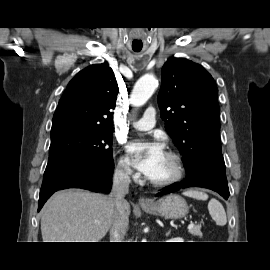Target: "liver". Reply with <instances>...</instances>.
Instances as JSON below:
<instances>
[{
  "label": "liver",
  "instance_id": "liver-1",
  "mask_svg": "<svg viewBox=\"0 0 270 270\" xmlns=\"http://www.w3.org/2000/svg\"><path fill=\"white\" fill-rule=\"evenodd\" d=\"M115 210L111 195L63 190L53 195L42 210L43 242H99L111 227ZM130 214V205L126 204Z\"/></svg>",
  "mask_w": 270,
  "mask_h": 270
}]
</instances>
